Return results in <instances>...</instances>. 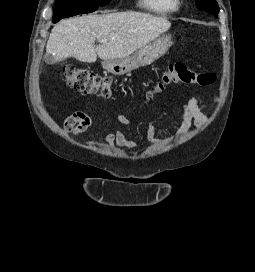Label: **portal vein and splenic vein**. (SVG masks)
Wrapping results in <instances>:
<instances>
[{
    "instance_id": "obj_1",
    "label": "portal vein and splenic vein",
    "mask_w": 255,
    "mask_h": 272,
    "mask_svg": "<svg viewBox=\"0 0 255 272\" xmlns=\"http://www.w3.org/2000/svg\"><path fill=\"white\" fill-rule=\"evenodd\" d=\"M106 40H102L101 42H105Z\"/></svg>"
}]
</instances>
